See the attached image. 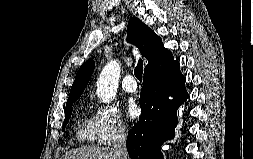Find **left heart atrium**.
I'll use <instances>...</instances> for the list:
<instances>
[{
	"label": "left heart atrium",
	"mask_w": 253,
	"mask_h": 159,
	"mask_svg": "<svg viewBox=\"0 0 253 159\" xmlns=\"http://www.w3.org/2000/svg\"><path fill=\"white\" fill-rule=\"evenodd\" d=\"M126 112L130 118L134 119L139 115V108L134 101H129L126 105Z\"/></svg>",
	"instance_id": "left-heart-atrium-1"
}]
</instances>
